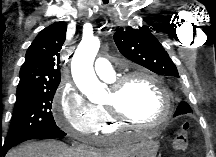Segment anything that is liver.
I'll return each instance as SVG.
<instances>
[{
	"instance_id": "6515ba94",
	"label": "liver",
	"mask_w": 216,
	"mask_h": 157,
	"mask_svg": "<svg viewBox=\"0 0 216 157\" xmlns=\"http://www.w3.org/2000/svg\"><path fill=\"white\" fill-rule=\"evenodd\" d=\"M141 145L139 140L132 139L113 149L94 150L68 147L59 141L30 142L10 150L6 157H135Z\"/></svg>"
}]
</instances>
